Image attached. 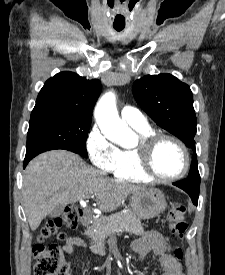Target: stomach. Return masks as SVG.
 Segmentation results:
<instances>
[{
  "label": "stomach",
  "mask_w": 225,
  "mask_h": 275,
  "mask_svg": "<svg viewBox=\"0 0 225 275\" xmlns=\"http://www.w3.org/2000/svg\"><path fill=\"white\" fill-rule=\"evenodd\" d=\"M130 206L139 219L148 220L159 216L167 207L164 194L155 188H146L130 197Z\"/></svg>",
  "instance_id": "0dacf381"
}]
</instances>
